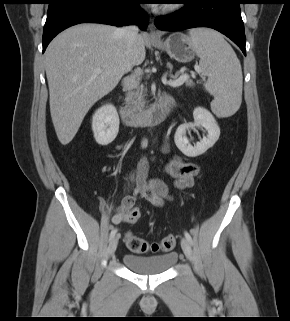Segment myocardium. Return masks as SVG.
I'll return each instance as SVG.
<instances>
[{"label":"myocardium","instance_id":"1","mask_svg":"<svg viewBox=\"0 0 290 321\" xmlns=\"http://www.w3.org/2000/svg\"><path fill=\"white\" fill-rule=\"evenodd\" d=\"M179 8V5L174 3V4H168L166 6L163 7L162 12L163 13H170V12H174Z\"/></svg>","mask_w":290,"mask_h":321}]
</instances>
